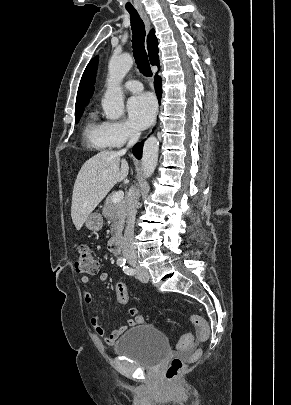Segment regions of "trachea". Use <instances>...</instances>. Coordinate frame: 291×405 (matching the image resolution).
<instances>
[{
  "label": "trachea",
  "mask_w": 291,
  "mask_h": 405,
  "mask_svg": "<svg viewBox=\"0 0 291 405\" xmlns=\"http://www.w3.org/2000/svg\"><path fill=\"white\" fill-rule=\"evenodd\" d=\"M132 27V48L139 71L146 77L152 76L148 56L144 47L145 26L137 11H128Z\"/></svg>",
  "instance_id": "1"
}]
</instances>
